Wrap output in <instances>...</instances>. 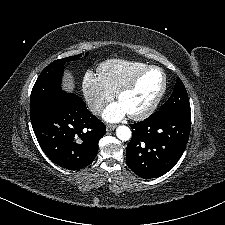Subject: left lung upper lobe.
I'll return each instance as SVG.
<instances>
[{
	"instance_id": "5c2ea615",
	"label": "left lung upper lobe",
	"mask_w": 225,
	"mask_h": 225,
	"mask_svg": "<svg viewBox=\"0 0 225 225\" xmlns=\"http://www.w3.org/2000/svg\"><path fill=\"white\" fill-rule=\"evenodd\" d=\"M175 111H190L188 95L180 78L175 83L172 95L157 112L170 113Z\"/></svg>"
}]
</instances>
